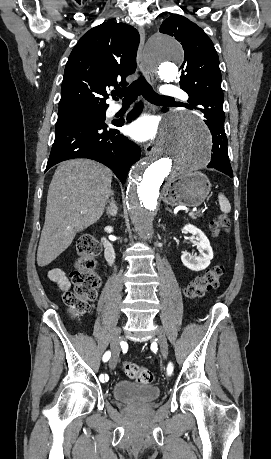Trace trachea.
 <instances>
[{"label": "trachea", "mask_w": 271, "mask_h": 459, "mask_svg": "<svg viewBox=\"0 0 271 459\" xmlns=\"http://www.w3.org/2000/svg\"><path fill=\"white\" fill-rule=\"evenodd\" d=\"M140 93L146 100H148V102L160 105L171 99V97H165L164 95H159L158 93L154 92L151 85H149L147 80H145L142 75H140L137 80L131 83L129 87L116 88L114 95L120 98L124 97V102H134Z\"/></svg>", "instance_id": "obj_1"}]
</instances>
